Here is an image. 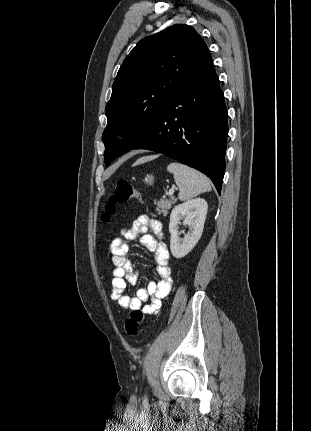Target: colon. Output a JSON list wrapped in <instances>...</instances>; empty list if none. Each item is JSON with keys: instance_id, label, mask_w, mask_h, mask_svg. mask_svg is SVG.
Wrapping results in <instances>:
<instances>
[{"instance_id": "colon-1", "label": "colon", "mask_w": 311, "mask_h": 431, "mask_svg": "<svg viewBox=\"0 0 311 431\" xmlns=\"http://www.w3.org/2000/svg\"><path fill=\"white\" fill-rule=\"evenodd\" d=\"M142 195L138 189L133 187L127 180H117L114 191L111 194L108 203L105 206L103 219L108 220L115 213L116 205L119 203L128 202L131 199H141ZM144 319V312L140 309L132 311L130 316L125 321V331L129 336L135 337L138 335L140 326Z\"/></svg>"}]
</instances>
